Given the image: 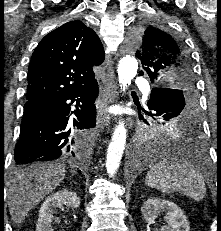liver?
<instances>
[{"label":"liver","mask_w":221,"mask_h":231,"mask_svg":"<svg viewBox=\"0 0 221 231\" xmlns=\"http://www.w3.org/2000/svg\"><path fill=\"white\" fill-rule=\"evenodd\" d=\"M65 166L58 163L33 164L13 173L7 183L9 213L21 224L31 209L64 180Z\"/></svg>","instance_id":"liver-1"}]
</instances>
